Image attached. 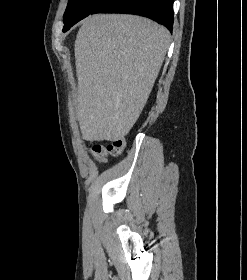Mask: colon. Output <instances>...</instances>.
Masks as SVG:
<instances>
[{"label": "colon", "instance_id": "5ec220e1", "mask_svg": "<svg viewBox=\"0 0 247 280\" xmlns=\"http://www.w3.org/2000/svg\"><path fill=\"white\" fill-rule=\"evenodd\" d=\"M124 147V140L116 139L107 146L94 145L91 152L99 161H104L108 155H118Z\"/></svg>", "mask_w": 247, "mask_h": 280}]
</instances>
